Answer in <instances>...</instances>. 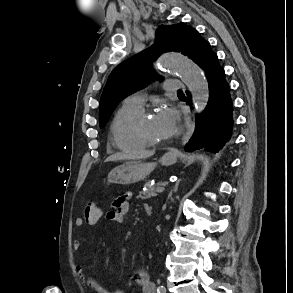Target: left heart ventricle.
Segmentation results:
<instances>
[{
  "label": "left heart ventricle",
  "mask_w": 293,
  "mask_h": 293,
  "mask_svg": "<svg viewBox=\"0 0 293 293\" xmlns=\"http://www.w3.org/2000/svg\"><path fill=\"white\" fill-rule=\"evenodd\" d=\"M143 130L153 140L163 141L167 138L162 124L158 119V114L150 115L143 121Z\"/></svg>",
  "instance_id": "left-heart-ventricle-1"
}]
</instances>
